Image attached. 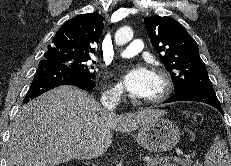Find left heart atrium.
<instances>
[{
  "instance_id": "obj_1",
  "label": "left heart atrium",
  "mask_w": 231,
  "mask_h": 166,
  "mask_svg": "<svg viewBox=\"0 0 231 166\" xmlns=\"http://www.w3.org/2000/svg\"><path fill=\"white\" fill-rule=\"evenodd\" d=\"M154 73L146 66L130 69L122 79V86L132 96L146 97L153 83Z\"/></svg>"
}]
</instances>
